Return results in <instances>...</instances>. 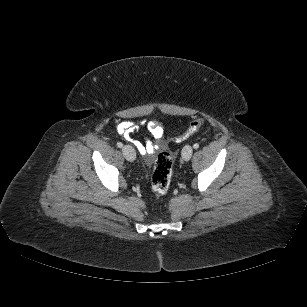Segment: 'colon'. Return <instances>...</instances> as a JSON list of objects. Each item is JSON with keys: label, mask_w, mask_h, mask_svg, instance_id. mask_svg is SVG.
Instances as JSON below:
<instances>
[{"label": "colon", "mask_w": 307, "mask_h": 307, "mask_svg": "<svg viewBox=\"0 0 307 307\" xmlns=\"http://www.w3.org/2000/svg\"><path fill=\"white\" fill-rule=\"evenodd\" d=\"M204 124V119L198 118L190 123L186 131L177 139L185 140L196 133ZM173 170V155L171 152L161 151L155 159L153 173L151 177L152 189L156 195L165 194L171 183Z\"/></svg>", "instance_id": "5ec220e1"}]
</instances>
